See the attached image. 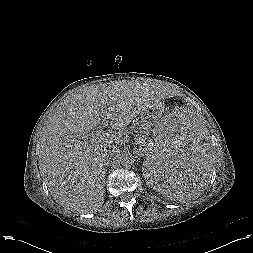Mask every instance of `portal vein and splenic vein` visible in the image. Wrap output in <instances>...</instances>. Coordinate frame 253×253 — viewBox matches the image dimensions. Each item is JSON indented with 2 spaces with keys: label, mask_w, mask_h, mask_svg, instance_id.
I'll use <instances>...</instances> for the list:
<instances>
[{
  "label": "portal vein and splenic vein",
  "mask_w": 253,
  "mask_h": 253,
  "mask_svg": "<svg viewBox=\"0 0 253 253\" xmlns=\"http://www.w3.org/2000/svg\"><path fill=\"white\" fill-rule=\"evenodd\" d=\"M109 116H110V114H107L105 120L108 119ZM103 125H105V124H103ZM106 134L107 133H104L102 129H97L94 133H92L91 137H92V140L96 141L99 138L105 137Z\"/></svg>",
  "instance_id": "1"
}]
</instances>
